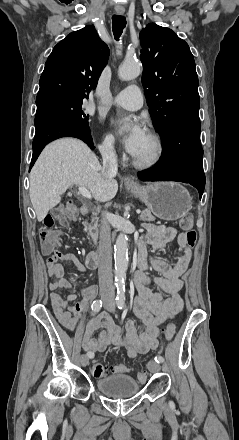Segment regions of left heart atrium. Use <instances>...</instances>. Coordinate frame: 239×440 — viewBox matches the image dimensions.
Listing matches in <instances>:
<instances>
[{
  "label": "left heart atrium",
  "instance_id": "obj_1",
  "mask_svg": "<svg viewBox=\"0 0 239 440\" xmlns=\"http://www.w3.org/2000/svg\"><path fill=\"white\" fill-rule=\"evenodd\" d=\"M112 125L115 132L123 138L124 145L128 152L135 155L147 135V131L141 119L134 117L127 123L118 119L115 120Z\"/></svg>",
  "mask_w": 239,
  "mask_h": 440
}]
</instances>
